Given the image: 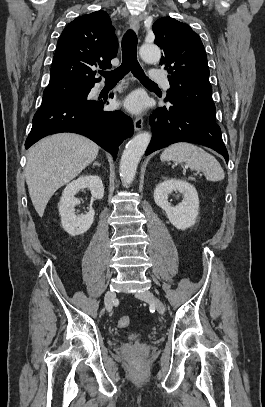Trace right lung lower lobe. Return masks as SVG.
I'll return each mask as SVG.
<instances>
[{
  "label": "right lung lower lobe",
  "instance_id": "right-lung-lower-lobe-1",
  "mask_svg": "<svg viewBox=\"0 0 265 407\" xmlns=\"http://www.w3.org/2000/svg\"><path fill=\"white\" fill-rule=\"evenodd\" d=\"M93 86L89 84L73 100L41 107L34 115L25 148L47 135L73 132L90 138L116 159L119 145L133 135L132 120L121 111H104L105 101L89 99Z\"/></svg>",
  "mask_w": 265,
  "mask_h": 407
}]
</instances>
